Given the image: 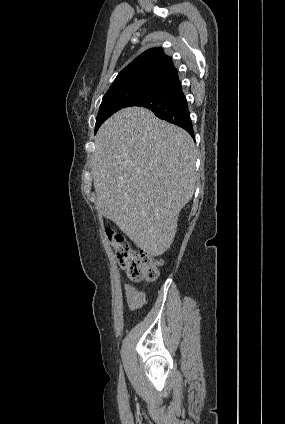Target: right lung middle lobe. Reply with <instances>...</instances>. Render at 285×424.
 I'll use <instances>...</instances> for the list:
<instances>
[{"mask_svg": "<svg viewBox=\"0 0 285 424\" xmlns=\"http://www.w3.org/2000/svg\"><path fill=\"white\" fill-rule=\"evenodd\" d=\"M163 85L164 84L157 82H139L109 89L103 96L96 117L95 132L101 124L115 112L127 107L136 99L152 94Z\"/></svg>", "mask_w": 285, "mask_h": 424, "instance_id": "1", "label": "right lung middle lobe"}]
</instances>
